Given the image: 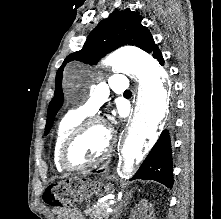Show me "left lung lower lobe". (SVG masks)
I'll use <instances>...</instances> for the list:
<instances>
[{"instance_id": "1", "label": "left lung lower lobe", "mask_w": 221, "mask_h": 219, "mask_svg": "<svg viewBox=\"0 0 221 219\" xmlns=\"http://www.w3.org/2000/svg\"><path fill=\"white\" fill-rule=\"evenodd\" d=\"M152 56L161 65L164 64V59L157 46L153 49ZM172 172L171 141L168 130H164L132 179L156 180L171 188L173 186Z\"/></svg>"}]
</instances>
